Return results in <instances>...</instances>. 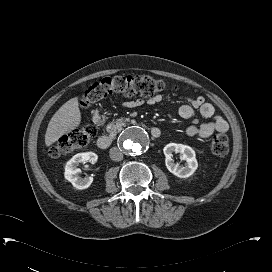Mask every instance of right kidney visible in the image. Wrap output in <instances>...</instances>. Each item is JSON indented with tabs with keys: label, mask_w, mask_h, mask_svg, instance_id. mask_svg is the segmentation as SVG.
<instances>
[{
	"label": "right kidney",
	"mask_w": 272,
	"mask_h": 272,
	"mask_svg": "<svg viewBox=\"0 0 272 272\" xmlns=\"http://www.w3.org/2000/svg\"><path fill=\"white\" fill-rule=\"evenodd\" d=\"M98 159L97 154L93 152H86V153H78L74 155L65 166L64 176L65 178L72 183V185L77 189H86L88 188L92 182L93 177H84L81 178L78 176L80 169L77 168L79 163L91 162L94 164Z\"/></svg>",
	"instance_id": "right-kidney-1"
}]
</instances>
